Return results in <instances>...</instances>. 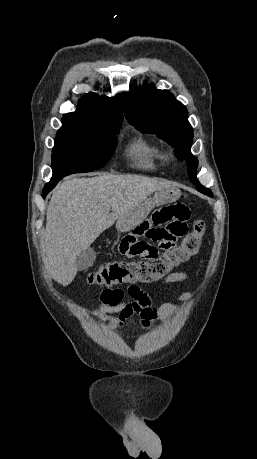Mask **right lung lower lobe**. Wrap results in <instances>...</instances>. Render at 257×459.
<instances>
[{
	"label": "right lung lower lobe",
	"instance_id": "98d812e1",
	"mask_svg": "<svg viewBox=\"0 0 257 459\" xmlns=\"http://www.w3.org/2000/svg\"><path fill=\"white\" fill-rule=\"evenodd\" d=\"M63 177H52L51 181L47 183L43 189L42 197L45 198L46 195L56 186V184L62 179Z\"/></svg>",
	"mask_w": 257,
	"mask_h": 459
}]
</instances>
